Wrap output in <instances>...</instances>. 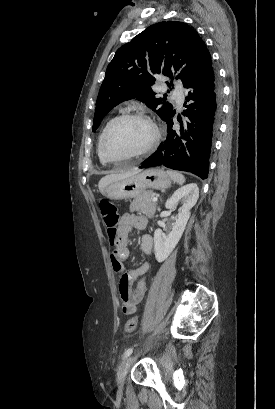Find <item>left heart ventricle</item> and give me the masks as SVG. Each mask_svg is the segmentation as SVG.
<instances>
[{"label":"left heart ventricle","mask_w":275,"mask_h":409,"mask_svg":"<svg viewBox=\"0 0 275 409\" xmlns=\"http://www.w3.org/2000/svg\"><path fill=\"white\" fill-rule=\"evenodd\" d=\"M149 135L147 126L136 120L118 123L104 145L106 157H122L140 148Z\"/></svg>","instance_id":"obj_1"}]
</instances>
